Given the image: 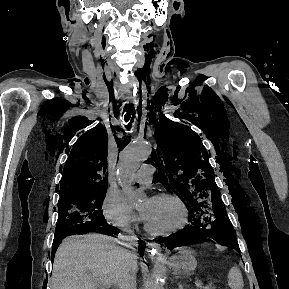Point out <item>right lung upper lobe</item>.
I'll return each instance as SVG.
<instances>
[{
  "mask_svg": "<svg viewBox=\"0 0 289 289\" xmlns=\"http://www.w3.org/2000/svg\"><path fill=\"white\" fill-rule=\"evenodd\" d=\"M106 157L107 137L103 126L98 124L83 134L72 148L56 190L60 197L107 188Z\"/></svg>",
  "mask_w": 289,
  "mask_h": 289,
  "instance_id": "obj_1",
  "label": "right lung upper lobe"
}]
</instances>
